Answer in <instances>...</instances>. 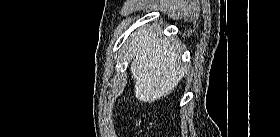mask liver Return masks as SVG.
I'll return each mask as SVG.
<instances>
[{"label": "liver", "instance_id": "liver-1", "mask_svg": "<svg viewBox=\"0 0 280 137\" xmlns=\"http://www.w3.org/2000/svg\"><path fill=\"white\" fill-rule=\"evenodd\" d=\"M131 72L135 96L140 102L152 103L166 97L184 77L180 51L166 37H160L153 27L137 30L129 45Z\"/></svg>", "mask_w": 280, "mask_h": 137}]
</instances>
